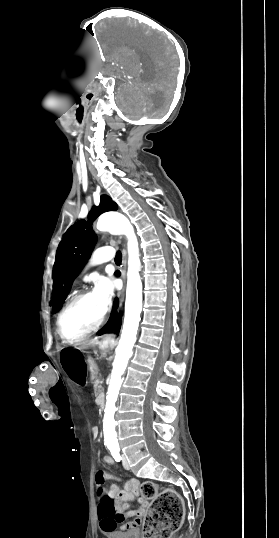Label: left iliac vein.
I'll use <instances>...</instances> for the list:
<instances>
[{
  "label": "left iliac vein",
  "mask_w": 279,
  "mask_h": 538,
  "mask_svg": "<svg viewBox=\"0 0 279 538\" xmlns=\"http://www.w3.org/2000/svg\"><path fill=\"white\" fill-rule=\"evenodd\" d=\"M122 464H123V467L126 470H129V463H128V460H127V458H126V456L124 454L122 455Z\"/></svg>",
  "instance_id": "left-iliac-vein-1"
}]
</instances>
